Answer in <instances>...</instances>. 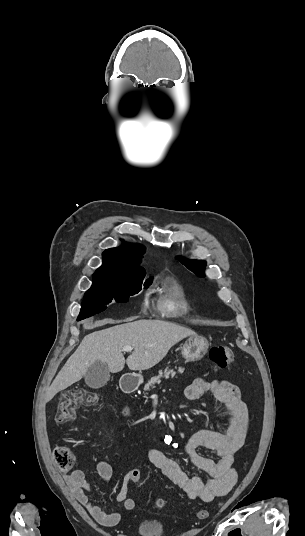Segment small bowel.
Masks as SVG:
<instances>
[{"label": "small bowel", "instance_id": "small-bowel-1", "mask_svg": "<svg viewBox=\"0 0 305 536\" xmlns=\"http://www.w3.org/2000/svg\"><path fill=\"white\" fill-rule=\"evenodd\" d=\"M205 394L213 395L218 402L221 430L197 431L189 437L182 448L191 463L208 477L206 479L200 476L189 477L177 460L156 448H151L147 457L151 464L183 489L189 499L211 502L217 497L227 495L237 482L233 461L235 454L248 437L249 413L238 387L229 381L197 378L185 390V397L190 401L198 400ZM165 443L171 447L177 446L171 437L165 439ZM199 447L212 452L216 459L197 454L196 449ZM97 473L104 482H109L113 475L112 467L108 462L100 461L97 464ZM65 481L75 498L97 523L113 527L120 522V513L104 512L91 500L89 496L91 487L85 479L83 468H77L67 474ZM115 499L123 504L125 511H131L136 506L135 500L128 497L127 474Z\"/></svg>", "mask_w": 305, "mask_h": 536}]
</instances>
